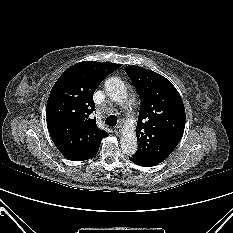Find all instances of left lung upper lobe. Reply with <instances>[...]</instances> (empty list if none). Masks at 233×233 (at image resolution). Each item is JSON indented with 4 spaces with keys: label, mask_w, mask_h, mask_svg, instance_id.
Listing matches in <instances>:
<instances>
[{
    "label": "left lung upper lobe",
    "mask_w": 233,
    "mask_h": 233,
    "mask_svg": "<svg viewBox=\"0 0 233 233\" xmlns=\"http://www.w3.org/2000/svg\"><path fill=\"white\" fill-rule=\"evenodd\" d=\"M124 69L141 99L136 127L138 148L132 157L146 166H155L181 140L186 121L184 104L173 84L162 75L139 66Z\"/></svg>",
    "instance_id": "obj_1"
}]
</instances>
